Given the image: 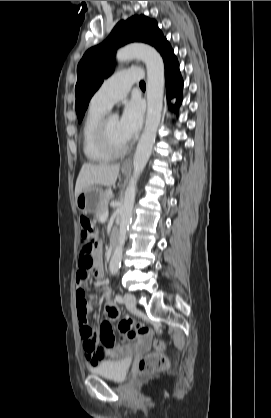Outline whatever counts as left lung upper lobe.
I'll return each mask as SVG.
<instances>
[{
  "instance_id": "5c2ea615",
  "label": "left lung upper lobe",
  "mask_w": 271,
  "mask_h": 418,
  "mask_svg": "<svg viewBox=\"0 0 271 418\" xmlns=\"http://www.w3.org/2000/svg\"><path fill=\"white\" fill-rule=\"evenodd\" d=\"M165 40L155 20L135 15L120 21L105 41L90 48L77 67L75 108L78 121L81 122L91 97L103 80L112 74L117 48L131 42H143L159 51Z\"/></svg>"
}]
</instances>
